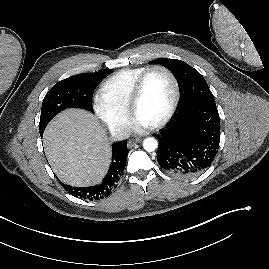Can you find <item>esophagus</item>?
I'll return each mask as SVG.
<instances>
[{"instance_id": "esophagus-1", "label": "esophagus", "mask_w": 269, "mask_h": 269, "mask_svg": "<svg viewBox=\"0 0 269 269\" xmlns=\"http://www.w3.org/2000/svg\"><path fill=\"white\" fill-rule=\"evenodd\" d=\"M141 141V139H133V140H129L127 143L128 148H132L134 145H136L137 143H139Z\"/></svg>"}]
</instances>
